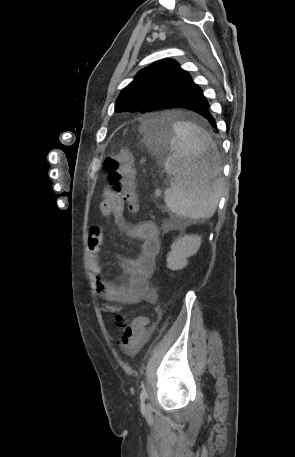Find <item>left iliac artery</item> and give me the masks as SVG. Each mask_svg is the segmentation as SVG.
I'll use <instances>...</instances> for the list:
<instances>
[{"instance_id": "obj_1", "label": "left iliac artery", "mask_w": 295, "mask_h": 457, "mask_svg": "<svg viewBox=\"0 0 295 457\" xmlns=\"http://www.w3.org/2000/svg\"><path fill=\"white\" fill-rule=\"evenodd\" d=\"M146 397H147L146 392H145V390L143 389V390L141 391V393H140V400H141V401H145Z\"/></svg>"}]
</instances>
